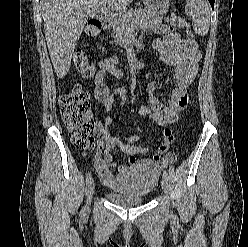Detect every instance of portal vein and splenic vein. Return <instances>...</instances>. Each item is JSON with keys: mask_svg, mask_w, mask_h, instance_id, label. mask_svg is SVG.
I'll return each mask as SVG.
<instances>
[{"mask_svg": "<svg viewBox=\"0 0 248 247\" xmlns=\"http://www.w3.org/2000/svg\"><path fill=\"white\" fill-rule=\"evenodd\" d=\"M106 11H107L106 7L102 8V12H106Z\"/></svg>", "mask_w": 248, "mask_h": 247, "instance_id": "1", "label": "portal vein and splenic vein"}]
</instances>
